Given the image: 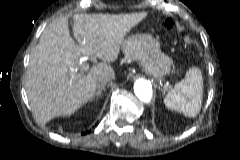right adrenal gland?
I'll return each mask as SVG.
<instances>
[{
	"label": "right adrenal gland",
	"instance_id": "2a0ac1e0",
	"mask_svg": "<svg viewBox=\"0 0 240 160\" xmlns=\"http://www.w3.org/2000/svg\"><path fill=\"white\" fill-rule=\"evenodd\" d=\"M103 90H105V88L98 89V91L94 94L92 99H95V97H97V98L101 97V93Z\"/></svg>",
	"mask_w": 240,
	"mask_h": 160
}]
</instances>
